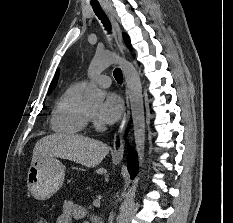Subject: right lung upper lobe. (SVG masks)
Returning <instances> with one entry per match:
<instances>
[{
    "label": "right lung upper lobe",
    "mask_w": 233,
    "mask_h": 223,
    "mask_svg": "<svg viewBox=\"0 0 233 223\" xmlns=\"http://www.w3.org/2000/svg\"><path fill=\"white\" fill-rule=\"evenodd\" d=\"M57 78H58V72H56V75H55V78L54 80L52 81L50 87H49V93L52 91V89L55 87L56 85V82H57Z\"/></svg>",
    "instance_id": "obj_1"
}]
</instances>
